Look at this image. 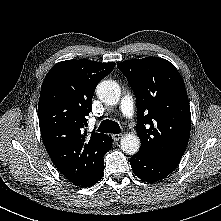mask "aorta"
Masks as SVG:
<instances>
[{"mask_svg": "<svg viewBox=\"0 0 221 221\" xmlns=\"http://www.w3.org/2000/svg\"><path fill=\"white\" fill-rule=\"evenodd\" d=\"M96 94L100 101L106 105H116L121 98V89L113 80H103L96 87ZM121 149L129 155L138 152L140 140L135 134H126L121 139Z\"/></svg>", "mask_w": 221, "mask_h": 221, "instance_id": "1", "label": "aorta"}]
</instances>
